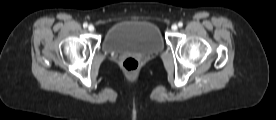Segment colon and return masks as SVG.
Wrapping results in <instances>:
<instances>
[{
	"instance_id": "obj_1",
	"label": "colon",
	"mask_w": 276,
	"mask_h": 120,
	"mask_svg": "<svg viewBox=\"0 0 276 120\" xmlns=\"http://www.w3.org/2000/svg\"><path fill=\"white\" fill-rule=\"evenodd\" d=\"M124 71L130 75L135 74L139 68V62L134 57H127L122 62Z\"/></svg>"
}]
</instances>
